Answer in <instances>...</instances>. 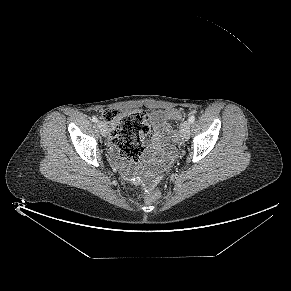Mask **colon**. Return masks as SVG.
Here are the masks:
<instances>
[{"label":"colon","instance_id":"obj_1","mask_svg":"<svg viewBox=\"0 0 291 291\" xmlns=\"http://www.w3.org/2000/svg\"><path fill=\"white\" fill-rule=\"evenodd\" d=\"M169 120H180L184 112L180 109L170 110ZM104 121L108 124L112 142L119 149L122 156L136 161L143 153L141 135L149 130L148 115L143 110L118 111L106 110L103 114ZM146 200L150 203L159 198V191L154 185L146 190Z\"/></svg>","mask_w":291,"mask_h":291}]
</instances>
